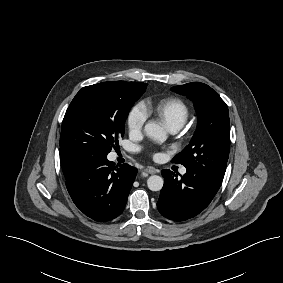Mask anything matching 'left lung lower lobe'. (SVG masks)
Segmentation results:
<instances>
[{
	"instance_id": "obj_1",
	"label": "left lung lower lobe",
	"mask_w": 283,
	"mask_h": 283,
	"mask_svg": "<svg viewBox=\"0 0 283 283\" xmlns=\"http://www.w3.org/2000/svg\"><path fill=\"white\" fill-rule=\"evenodd\" d=\"M161 173L164 185L157 207L162 216L174 221L198 215L210 204L220 187L190 169L180 175V179L168 169Z\"/></svg>"
}]
</instances>
